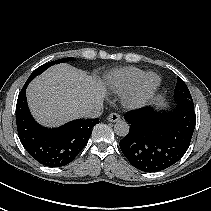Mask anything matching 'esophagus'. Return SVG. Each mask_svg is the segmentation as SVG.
I'll use <instances>...</instances> for the list:
<instances>
[{"label":"esophagus","instance_id":"1","mask_svg":"<svg viewBox=\"0 0 211 211\" xmlns=\"http://www.w3.org/2000/svg\"><path fill=\"white\" fill-rule=\"evenodd\" d=\"M107 120L109 122H118L120 120V115L117 113H111L108 117Z\"/></svg>","mask_w":211,"mask_h":211}]
</instances>
